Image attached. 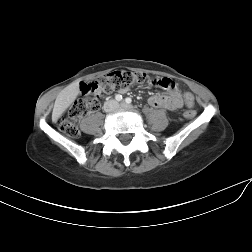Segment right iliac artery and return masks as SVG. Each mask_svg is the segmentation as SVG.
<instances>
[{
	"label": "right iliac artery",
	"instance_id": "82829eb1",
	"mask_svg": "<svg viewBox=\"0 0 252 252\" xmlns=\"http://www.w3.org/2000/svg\"><path fill=\"white\" fill-rule=\"evenodd\" d=\"M115 99H116L117 101H121V100H122V95L117 94V95L115 96Z\"/></svg>",
	"mask_w": 252,
	"mask_h": 252
}]
</instances>
